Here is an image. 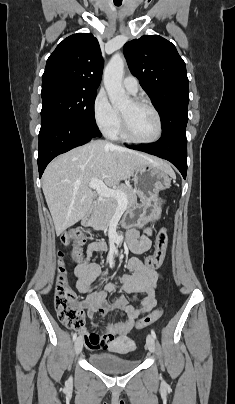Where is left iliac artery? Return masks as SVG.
I'll return each instance as SVG.
<instances>
[{
	"label": "left iliac artery",
	"instance_id": "left-iliac-artery-1",
	"mask_svg": "<svg viewBox=\"0 0 235 404\" xmlns=\"http://www.w3.org/2000/svg\"><path fill=\"white\" fill-rule=\"evenodd\" d=\"M151 335L153 336L154 339H156V333L154 330H151Z\"/></svg>",
	"mask_w": 235,
	"mask_h": 404
}]
</instances>
